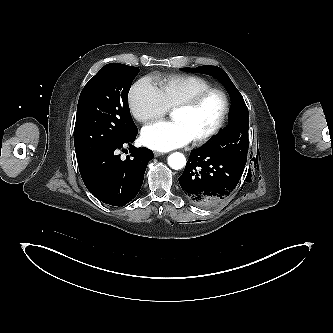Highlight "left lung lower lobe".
<instances>
[{"label":"left lung lower lobe","instance_id":"left-lung-lower-lobe-1","mask_svg":"<svg viewBox=\"0 0 333 333\" xmlns=\"http://www.w3.org/2000/svg\"><path fill=\"white\" fill-rule=\"evenodd\" d=\"M244 168L233 159L203 147L192 152L178 180L191 203L209 208L230 195Z\"/></svg>","mask_w":333,"mask_h":333}]
</instances>
